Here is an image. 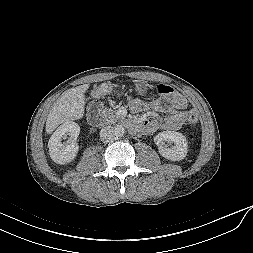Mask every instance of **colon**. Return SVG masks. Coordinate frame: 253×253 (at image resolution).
Returning <instances> with one entry per match:
<instances>
[{
	"mask_svg": "<svg viewBox=\"0 0 253 253\" xmlns=\"http://www.w3.org/2000/svg\"><path fill=\"white\" fill-rule=\"evenodd\" d=\"M105 91H107V87H104V88H101L99 89L95 96H99L101 95L102 93H104ZM157 92L160 94V95H163V96H170L172 95L175 90L172 86L170 85H166V84H160L157 86ZM188 122L191 124V125H195L197 124L198 122V114L194 111H191L189 114H188Z\"/></svg>",
	"mask_w": 253,
	"mask_h": 253,
	"instance_id": "5ec220e1",
	"label": "colon"
}]
</instances>
